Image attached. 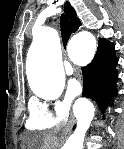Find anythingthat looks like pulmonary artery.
I'll return each instance as SVG.
<instances>
[{"mask_svg": "<svg viewBox=\"0 0 124 149\" xmlns=\"http://www.w3.org/2000/svg\"><path fill=\"white\" fill-rule=\"evenodd\" d=\"M65 70H66L67 74L73 73V66H72V64L70 62H67L65 64Z\"/></svg>", "mask_w": 124, "mask_h": 149, "instance_id": "e3ab8cb5", "label": "pulmonary artery"}]
</instances>
